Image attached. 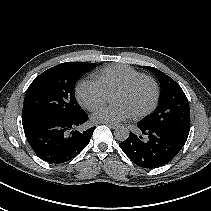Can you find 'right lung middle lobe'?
Returning a JSON list of instances; mask_svg holds the SVG:
<instances>
[{
	"label": "right lung middle lobe",
	"instance_id": "1",
	"mask_svg": "<svg viewBox=\"0 0 211 211\" xmlns=\"http://www.w3.org/2000/svg\"><path fill=\"white\" fill-rule=\"evenodd\" d=\"M99 64L65 62L37 76L27 89L22 123L53 119H71L84 111L75 99L78 79Z\"/></svg>",
	"mask_w": 211,
	"mask_h": 211
}]
</instances>
